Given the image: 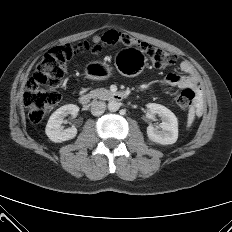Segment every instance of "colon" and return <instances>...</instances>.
I'll use <instances>...</instances> for the list:
<instances>
[{"label":"colon","instance_id":"colon-1","mask_svg":"<svg viewBox=\"0 0 232 232\" xmlns=\"http://www.w3.org/2000/svg\"><path fill=\"white\" fill-rule=\"evenodd\" d=\"M117 44L139 47L158 68L172 66L177 60V56L172 52L115 30L107 31L93 42L55 46L46 53L27 82L23 101L28 110L29 120L32 123H39L58 103L57 88L67 72L68 63L76 54L81 52L98 54L104 48ZM193 98L194 92L191 89H184L177 96L176 102L181 109L187 110Z\"/></svg>","mask_w":232,"mask_h":232}]
</instances>
